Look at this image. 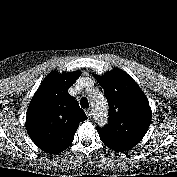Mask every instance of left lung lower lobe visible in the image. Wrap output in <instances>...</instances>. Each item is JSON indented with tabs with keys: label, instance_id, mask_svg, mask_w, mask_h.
I'll return each instance as SVG.
<instances>
[{
	"label": "left lung lower lobe",
	"instance_id": "1",
	"mask_svg": "<svg viewBox=\"0 0 177 177\" xmlns=\"http://www.w3.org/2000/svg\"><path fill=\"white\" fill-rule=\"evenodd\" d=\"M105 145L109 147L110 149L114 151H127L129 150V147L124 146V144H118V143H111V142H105Z\"/></svg>",
	"mask_w": 177,
	"mask_h": 177
}]
</instances>
